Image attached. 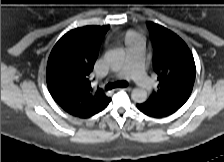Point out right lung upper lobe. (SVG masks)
Listing matches in <instances>:
<instances>
[{
  "instance_id": "cb5924a9",
  "label": "right lung upper lobe",
  "mask_w": 224,
  "mask_h": 162,
  "mask_svg": "<svg viewBox=\"0 0 224 162\" xmlns=\"http://www.w3.org/2000/svg\"><path fill=\"white\" fill-rule=\"evenodd\" d=\"M109 26H86L67 32L56 43L47 63L48 89L69 114L89 118L107 107L111 98L90 86L89 75Z\"/></svg>"
}]
</instances>
